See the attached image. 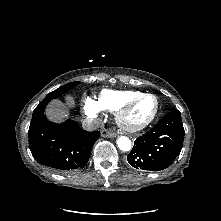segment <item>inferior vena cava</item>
<instances>
[{"label":"inferior vena cava","mask_w":221,"mask_h":221,"mask_svg":"<svg viewBox=\"0 0 221 221\" xmlns=\"http://www.w3.org/2000/svg\"><path fill=\"white\" fill-rule=\"evenodd\" d=\"M99 121L97 119H85L82 122L83 129L87 131H93L99 128Z\"/></svg>","instance_id":"inferior-vena-cava-1"}]
</instances>
